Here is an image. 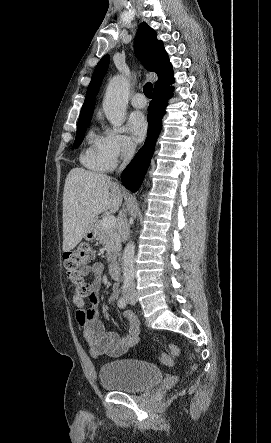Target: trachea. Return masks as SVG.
<instances>
[{
	"mask_svg": "<svg viewBox=\"0 0 271 443\" xmlns=\"http://www.w3.org/2000/svg\"><path fill=\"white\" fill-rule=\"evenodd\" d=\"M143 91L147 98H151L152 83H146L143 87Z\"/></svg>",
	"mask_w": 271,
	"mask_h": 443,
	"instance_id": "1",
	"label": "trachea"
}]
</instances>
